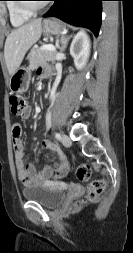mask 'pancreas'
Masks as SVG:
<instances>
[{"label": "pancreas", "mask_w": 133, "mask_h": 253, "mask_svg": "<svg viewBox=\"0 0 133 253\" xmlns=\"http://www.w3.org/2000/svg\"><path fill=\"white\" fill-rule=\"evenodd\" d=\"M55 61V52L42 50L41 48H33L30 52L29 57V68L34 70L38 66L46 63V62H54Z\"/></svg>", "instance_id": "cf45deb5"}]
</instances>
